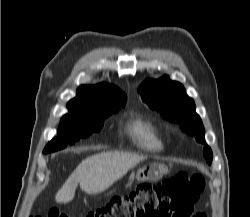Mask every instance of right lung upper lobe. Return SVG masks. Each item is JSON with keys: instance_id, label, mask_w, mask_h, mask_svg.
Listing matches in <instances>:
<instances>
[{"instance_id": "cb5924a9", "label": "right lung upper lobe", "mask_w": 250, "mask_h": 217, "mask_svg": "<svg viewBox=\"0 0 250 217\" xmlns=\"http://www.w3.org/2000/svg\"><path fill=\"white\" fill-rule=\"evenodd\" d=\"M126 99V95L113 85H82L77 96L68 102L69 113L61 122L85 121L101 113L117 111L125 105Z\"/></svg>"}]
</instances>
